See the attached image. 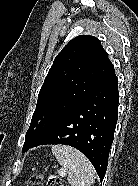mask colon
Listing matches in <instances>:
<instances>
[{
    "mask_svg": "<svg viewBox=\"0 0 138 186\" xmlns=\"http://www.w3.org/2000/svg\"><path fill=\"white\" fill-rule=\"evenodd\" d=\"M44 177L37 175L31 177L27 183V186H43ZM46 186H66L62 178L55 174H50L46 179Z\"/></svg>",
    "mask_w": 138,
    "mask_h": 186,
    "instance_id": "colon-1",
    "label": "colon"
}]
</instances>
